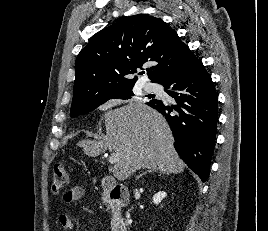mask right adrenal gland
I'll return each mask as SVG.
<instances>
[{
    "label": "right adrenal gland",
    "mask_w": 268,
    "mask_h": 231,
    "mask_svg": "<svg viewBox=\"0 0 268 231\" xmlns=\"http://www.w3.org/2000/svg\"><path fill=\"white\" fill-rule=\"evenodd\" d=\"M153 171H157L156 169H149L146 170L145 172H143L142 174H140L139 176L136 177V180H139V178H141L143 175L147 174L148 172H153ZM161 174V172H160Z\"/></svg>",
    "instance_id": "1"
}]
</instances>
